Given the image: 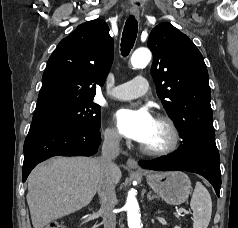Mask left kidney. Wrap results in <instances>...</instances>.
I'll use <instances>...</instances> for the list:
<instances>
[{
  "instance_id": "obj_1",
  "label": "left kidney",
  "mask_w": 238,
  "mask_h": 228,
  "mask_svg": "<svg viewBox=\"0 0 238 228\" xmlns=\"http://www.w3.org/2000/svg\"><path fill=\"white\" fill-rule=\"evenodd\" d=\"M174 228H181L180 226H175Z\"/></svg>"
}]
</instances>
